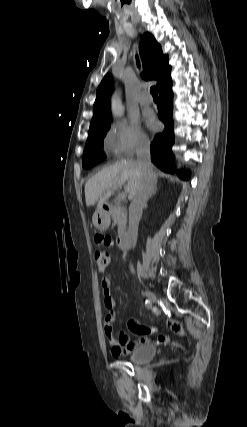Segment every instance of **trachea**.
Masks as SVG:
<instances>
[{
	"label": "trachea",
	"mask_w": 247,
	"mask_h": 427,
	"mask_svg": "<svg viewBox=\"0 0 247 427\" xmlns=\"http://www.w3.org/2000/svg\"><path fill=\"white\" fill-rule=\"evenodd\" d=\"M137 63H138V61H137ZM150 92H151L153 98H158V91H157L156 87H151Z\"/></svg>",
	"instance_id": "obj_1"
}]
</instances>
